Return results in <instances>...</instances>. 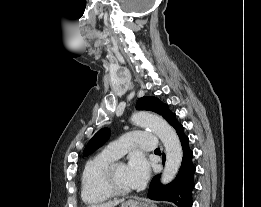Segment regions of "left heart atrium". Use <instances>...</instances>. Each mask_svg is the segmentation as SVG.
Segmentation results:
<instances>
[{
	"label": "left heart atrium",
	"instance_id": "obj_1",
	"mask_svg": "<svg viewBox=\"0 0 261 207\" xmlns=\"http://www.w3.org/2000/svg\"><path fill=\"white\" fill-rule=\"evenodd\" d=\"M126 172L131 187H141L149 176V163L142 154H134L126 165Z\"/></svg>",
	"mask_w": 261,
	"mask_h": 207
}]
</instances>
